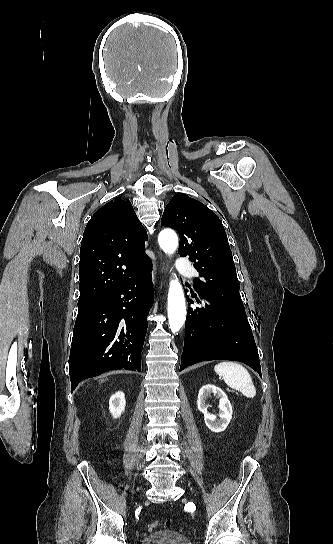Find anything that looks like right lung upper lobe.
I'll return each instance as SVG.
<instances>
[{
  "label": "right lung upper lobe",
  "mask_w": 333,
  "mask_h": 544,
  "mask_svg": "<svg viewBox=\"0 0 333 544\" xmlns=\"http://www.w3.org/2000/svg\"><path fill=\"white\" fill-rule=\"evenodd\" d=\"M147 233L129 200L116 198L89 220L80 249L79 301L107 298L152 262Z\"/></svg>",
  "instance_id": "1"
}]
</instances>
